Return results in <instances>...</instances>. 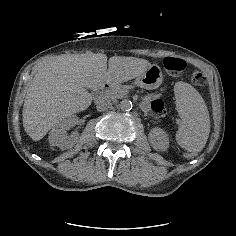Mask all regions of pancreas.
<instances>
[{
    "instance_id": "obj_1",
    "label": "pancreas",
    "mask_w": 236,
    "mask_h": 236,
    "mask_svg": "<svg viewBox=\"0 0 236 236\" xmlns=\"http://www.w3.org/2000/svg\"><path fill=\"white\" fill-rule=\"evenodd\" d=\"M123 93V90L120 87H116L114 90H109L103 95V98L106 101L114 99L116 96H120Z\"/></svg>"
}]
</instances>
